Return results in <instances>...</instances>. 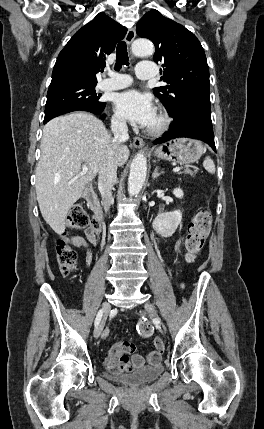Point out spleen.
<instances>
[{"label":"spleen","mask_w":264,"mask_h":429,"mask_svg":"<svg viewBox=\"0 0 264 429\" xmlns=\"http://www.w3.org/2000/svg\"><path fill=\"white\" fill-rule=\"evenodd\" d=\"M203 166L204 168L209 172V173H215V165L213 160L210 157H206L204 162H203Z\"/></svg>","instance_id":"spleen-1"}]
</instances>
